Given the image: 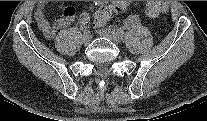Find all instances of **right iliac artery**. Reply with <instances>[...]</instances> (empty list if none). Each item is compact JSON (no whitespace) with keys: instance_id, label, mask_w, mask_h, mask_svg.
<instances>
[{"instance_id":"obj_1","label":"right iliac artery","mask_w":207,"mask_h":121,"mask_svg":"<svg viewBox=\"0 0 207 121\" xmlns=\"http://www.w3.org/2000/svg\"><path fill=\"white\" fill-rule=\"evenodd\" d=\"M90 21V16L87 13H82L79 17V23L81 24L82 29L86 30V26Z\"/></svg>"}]
</instances>
